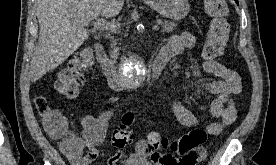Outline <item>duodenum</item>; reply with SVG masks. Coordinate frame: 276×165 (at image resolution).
Masks as SVG:
<instances>
[{
    "label": "duodenum",
    "instance_id": "duodenum-1",
    "mask_svg": "<svg viewBox=\"0 0 276 165\" xmlns=\"http://www.w3.org/2000/svg\"><path fill=\"white\" fill-rule=\"evenodd\" d=\"M95 55L99 67L104 74L109 86L114 90H122L127 86L126 79L117 69L115 64L109 59L105 47L101 43L94 46ZM167 58L158 55L148 68V78H158L167 65Z\"/></svg>",
    "mask_w": 276,
    "mask_h": 165
}]
</instances>
